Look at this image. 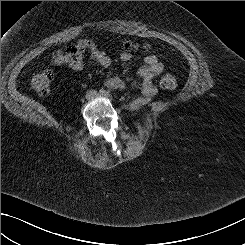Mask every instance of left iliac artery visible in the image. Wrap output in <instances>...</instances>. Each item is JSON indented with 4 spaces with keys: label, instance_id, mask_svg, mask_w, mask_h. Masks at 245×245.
<instances>
[{
    "label": "left iliac artery",
    "instance_id": "44dca946",
    "mask_svg": "<svg viewBox=\"0 0 245 245\" xmlns=\"http://www.w3.org/2000/svg\"><path fill=\"white\" fill-rule=\"evenodd\" d=\"M105 96H106V97H110V92L107 91V92L105 93Z\"/></svg>",
    "mask_w": 245,
    "mask_h": 245
}]
</instances>
